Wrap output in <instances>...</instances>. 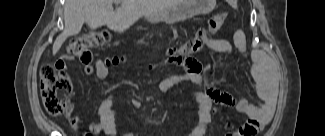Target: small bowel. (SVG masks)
Wrapping results in <instances>:
<instances>
[{
    "instance_id": "1",
    "label": "small bowel",
    "mask_w": 325,
    "mask_h": 136,
    "mask_svg": "<svg viewBox=\"0 0 325 136\" xmlns=\"http://www.w3.org/2000/svg\"><path fill=\"white\" fill-rule=\"evenodd\" d=\"M206 34L207 48L213 52L224 54L225 58L216 62L203 65L201 62L190 59L186 62H178L185 68L184 73L174 74L165 77L159 83V89L163 93H170L172 88L184 82H190L201 89L193 90L189 93V99L198 105L199 123L194 128L191 136H204L212 123L213 116L223 107H231L240 113L248 116V119L239 126L223 121L222 127L228 136H252L261 127L267 125L272 118L275 102V81L271 75L272 66L268 57L262 51L249 53L246 48V38L243 31L233 30V39L228 41L216 38L217 31L210 28L204 29ZM236 52L242 54L244 58L250 57L249 76L254 84L255 93L259 99L258 105L251 104L244 97H237L231 93L221 91L213 86L210 81L211 73L218 67L228 65ZM65 56L62 54L55 64L57 79L63 83V91L69 97L70 93H76L77 88L73 86V77L65 73ZM85 73L91 75L95 73L98 78L105 79L108 76V68L102 60H96L94 65H85ZM116 95L111 94L101 103L98 114L99 120L92 122L88 126L90 135L104 132L109 136L120 135L115 122L113 104ZM136 108L140 107V102L132 101ZM213 103L219 105L213 107ZM68 120L73 127H80L83 122L80 118L73 115L71 109L67 114ZM125 136H132L126 134Z\"/></svg>"
}]
</instances>
